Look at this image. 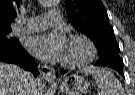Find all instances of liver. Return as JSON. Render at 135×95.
Masks as SVG:
<instances>
[{"label": "liver", "instance_id": "1", "mask_svg": "<svg viewBox=\"0 0 135 95\" xmlns=\"http://www.w3.org/2000/svg\"><path fill=\"white\" fill-rule=\"evenodd\" d=\"M30 74L22 68L0 62V95H24ZM41 83L32 79V95H39Z\"/></svg>", "mask_w": 135, "mask_h": 95}]
</instances>
